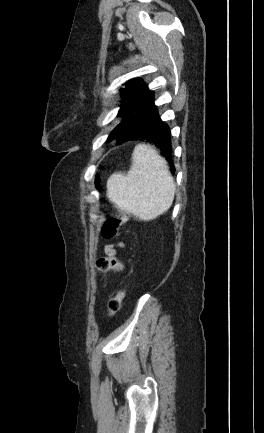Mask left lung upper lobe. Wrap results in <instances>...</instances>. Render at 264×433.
<instances>
[{
    "instance_id": "left-lung-upper-lobe-1",
    "label": "left lung upper lobe",
    "mask_w": 264,
    "mask_h": 433,
    "mask_svg": "<svg viewBox=\"0 0 264 433\" xmlns=\"http://www.w3.org/2000/svg\"><path fill=\"white\" fill-rule=\"evenodd\" d=\"M141 79L135 78L125 83L126 87L121 89L123 92V102L118 115L124 116L132 105L148 90L145 84H141ZM117 139V141H126L128 131L123 127L122 123L118 124L110 133L108 140Z\"/></svg>"
}]
</instances>
